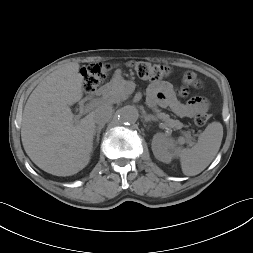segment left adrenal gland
Returning a JSON list of instances; mask_svg holds the SVG:
<instances>
[{
	"label": "left adrenal gland",
	"instance_id": "left-adrenal-gland-1",
	"mask_svg": "<svg viewBox=\"0 0 253 253\" xmlns=\"http://www.w3.org/2000/svg\"><path fill=\"white\" fill-rule=\"evenodd\" d=\"M144 121L147 123L149 121H157V119L153 115H143Z\"/></svg>",
	"mask_w": 253,
	"mask_h": 253
}]
</instances>
